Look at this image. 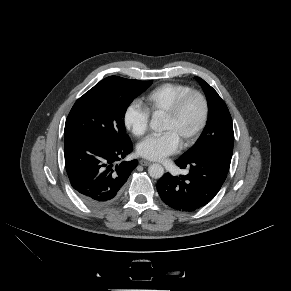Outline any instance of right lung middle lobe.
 <instances>
[{"mask_svg":"<svg viewBox=\"0 0 291 291\" xmlns=\"http://www.w3.org/2000/svg\"><path fill=\"white\" fill-rule=\"evenodd\" d=\"M152 81H138L110 76L80 97L72 107L64 130V140L96 137L107 140H130L124 126L130 103Z\"/></svg>","mask_w":291,"mask_h":291,"instance_id":"right-lung-middle-lobe-1","label":"right lung middle lobe"}]
</instances>
